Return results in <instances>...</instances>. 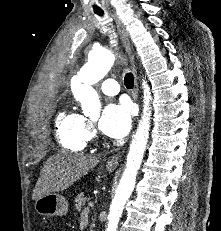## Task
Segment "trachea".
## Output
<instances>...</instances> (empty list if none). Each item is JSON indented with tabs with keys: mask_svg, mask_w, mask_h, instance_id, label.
Here are the masks:
<instances>
[{
	"mask_svg": "<svg viewBox=\"0 0 221 231\" xmlns=\"http://www.w3.org/2000/svg\"><path fill=\"white\" fill-rule=\"evenodd\" d=\"M95 13L99 16H103L104 12L103 11H95ZM124 84L128 89H132L134 86V77L132 73H126L124 77Z\"/></svg>",
	"mask_w": 221,
	"mask_h": 231,
	"instance_id": "trachea-1",
	"label": "trachea"
}]
</instances>
